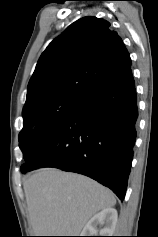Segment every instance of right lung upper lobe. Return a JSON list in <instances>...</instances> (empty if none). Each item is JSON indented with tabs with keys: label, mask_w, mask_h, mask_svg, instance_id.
<instances>
[{
	"label": "right lung upper lobe",
	"mask_w": 158,
	"mask_h": 237,
	"mask_svg": "<svg viewBox=\"0 0 158 237\" xmlns=\"http://www.w3.org/2000/svg\"><path fill=\"white\" fill-rule=\"evenodd\" d=\"M130 66V55L109 22L90 16L79 19L40 56L23 111L52 98L85 101Z\"/></svg>",
	"instance_id": "obj_1"
}]
</instances>
